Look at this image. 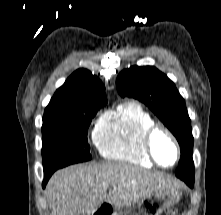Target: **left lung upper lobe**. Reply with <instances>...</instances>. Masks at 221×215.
<instances>
[{
  "label": "left lung upper lobe",
  "mask_w": 221,
  "mask_h": 215,
  "mask_svg": "<svg viewBox=\"0 0 221 215\" xmlns=\"http://www.w3.org/2000/svg\"><path fill=\"white\" fill-rule=\"evenodd\" d=\"M116 88L122 97L145 103L173 133L181 150L175 174L182 180H194L191 122L185 101L174 83L153 66H133L118 75Z\"/></svg>",
  "instance_id": "obj_1"
}]
</instances>
